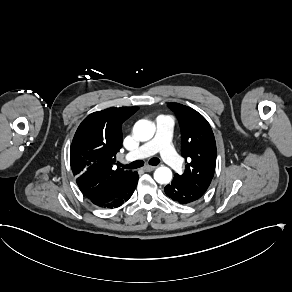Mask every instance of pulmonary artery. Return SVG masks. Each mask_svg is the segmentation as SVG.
Returning a JSON list of instances; mask_svg holds the SVG:
<instances>
[{
	"instance_id": "obj_1",
	"label": "pulmonary artery",
	"mask_w": 292,
	"mask_h": 292,
	"mask_svg": "<svg viewBox=\"0 0 292 292\" xmlns=\"http://www.w3.org/2000/svg\"><path fill=\"white\" fill-rule=\"evenodd\" d=\"M159 130L158 135L152 142L145 144L142 148H136L131 151L132 159H141L142 157H149L157 150L161 148V157L166 163L175 170H180L183 167V162L179 159V156L175 153V145L173 144L172 127L174 120L168 114H161L158 117Z\"/></svg>"
}]
</instances>
